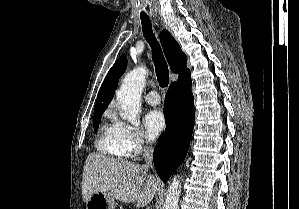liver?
Wrapping results in <instances>:
<instances>
[{
    "instance_id": "liver-1",
    "label": "liver",
    "mask_w": 299,
    "mask_h": 209,
    "mask_svg": "<svg viewBox=\"0 0 299 209\" xmlns=\"http://www.w3.org/2000/svg\"><path fill=\"white\" fill-rule=\"evenodd\" d=\"M159 189V181L148 175L140 164L89 154L84 165L82 197L87 202L97 192L125 203L136 202L138 208L149 204Z\"/></svg>"
}]
</instances>
